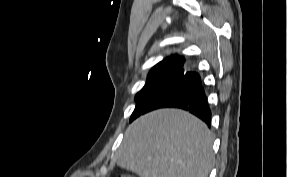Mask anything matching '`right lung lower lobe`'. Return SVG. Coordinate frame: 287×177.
<instances>
[{"instance_id": "1", "label": "right lung lower lobe", "mask_w": 287, "mask_h": 177, "mask_svg": "<svg viewBox=\"0 0 287 177\" xmlns=\"http://www.w3.org/2000/svg\"><path fill=\"white\" fill-rule=\"evenodd\" d=\"M177 107L191 112L210 125L211 111L201 78L180 67L157 80L137 101L131 121L157 108Z\"/></svg>"}]
</instances>
